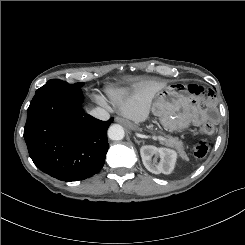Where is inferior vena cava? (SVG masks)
<instances>
[{
  "label": "inferior vena cava",
  "mask_w": 245,
  "mask_h": 245,
  "mask_svg": "<svg viewBox=\"0 0 245 245\" xmlns=\"http://www.w3.org/2000/svg\"><path fill=\"white\" fill-rule=\"evenodd\" d=\"M90 114L93 117L103 120V121H107L110 118V114L106 110L99 108V107L91 110Z\"/></svg>",
  "instance_id": "obj_1"
}]
</instances>
